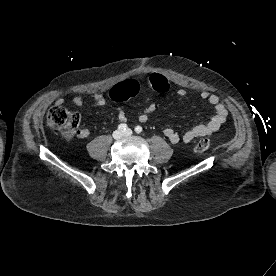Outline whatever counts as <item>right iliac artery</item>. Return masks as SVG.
I'll use <instances>...</instances> for the list:
<instances>
[{
  "label": "right iliac artery",
  "mask_w": 276,
  "mask_h": 276,
  "mask_svg": "<svg viewBox=\"0 0 276 276\" xmlns=\"http://www.w3.org/2000/svg\"><path fill=\"white\" fill-rule=\"evenodd\" d=\"M127 128H128L127 125L124 124V123H122L118 126V129L121 130V131H125Z\"/></svg>",
  "instance_id": "1"
}]
</instances>
